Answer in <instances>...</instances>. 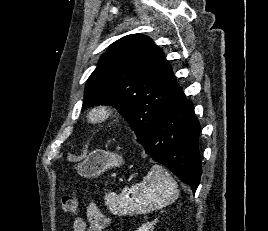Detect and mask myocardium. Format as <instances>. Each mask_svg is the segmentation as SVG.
<instances>
[{
    "label": "myocardium",
    "mask_w": 268,
    "mask_h": 231,
    "mask_svg": "<svg viewBox=\"0 0 268 231\" xmlns=\"http://www.w3.org/2000/svg\"><path fill=\"white\" fill-rule=\"evenodd\" d=\"M113 115V108L105 103L94 105L89 110V120L92 124H102L108 121Z\"/></svg>",
    "instance_id": "myocardium-1"
}]
</instances>
